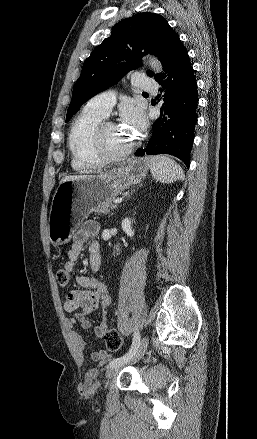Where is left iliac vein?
<instances>
[{
  "mask_svg": "<svg viewBox=\"0 0 257 439\" xmlns=\"http://www.w3.org/2000/svg\"><path fill=\"white\" fill-rule=\"evenodd\" d=\"M147 346H148V342H147L146 338H143V339L141 340L140 344H139V347H138L136 353H135V354H134V355H133L128 361L123 362V363H121V364H118V365H115V366L109 368V369L107 370V372H106V378H107V379H111V378H113L114 376H116V374L118 373V371H119L122 367H124L125 365H127L128 363H135V362H137L138 360H140V359L144 356V354H145V352H146V350H147Z\"/></svg>",
  "mask_w": 257,
  "mask_h": 439,
  "instance_id": "left-iliac-vein-1",
  "label": "left iliac vein"
}]
</instances>
